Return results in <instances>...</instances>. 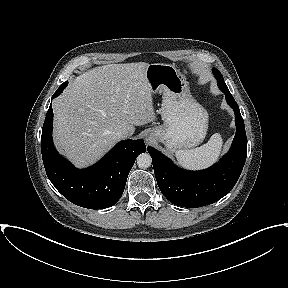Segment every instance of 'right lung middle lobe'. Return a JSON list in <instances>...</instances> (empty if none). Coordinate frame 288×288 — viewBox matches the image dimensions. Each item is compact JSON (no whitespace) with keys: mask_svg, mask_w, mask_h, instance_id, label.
Wrapping results in <instances>:
<instances>
[{"mask_svg":"<svg viewBox=\"0 0 288 288\" xmlns=\"http://www.w3.org/2000/svg\"><path fill=\"white\" fill-rule=\"evenodd\" d=\"M67 83L68 82L66 81L63 84H61L57 90H59V91L63 90L67 86Z\"/></svg>","mask_w":288,"mask_h":288,"instance_id":"1","label":"right lung middle lobe"}]
</instances>
